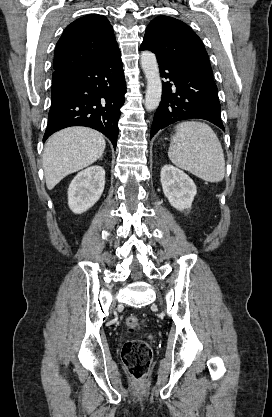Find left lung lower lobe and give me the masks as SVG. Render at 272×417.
<instances>
[{"label":"left lung lower lobe","mask_w":272,"mask_h":417,"mask_svg":"<svg viewBox=\"0 0 272 417\" xmlns=\"http://www.w3.org/2000/svg\"><path fill=\"white\" fill-rule=\"evenodd\" d=\"M158 63L161 76L169 82L163 85L162 101L153 119L150 138L170 124L186 119H204L225 130L213 77L185 64L166 60H158Z\"/></svg>","instance_id":"1"}]
</instances>
